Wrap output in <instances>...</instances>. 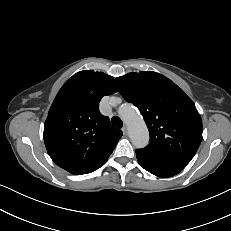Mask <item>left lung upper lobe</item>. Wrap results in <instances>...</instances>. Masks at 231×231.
Masks as SVG:
<instances>
[{"label":"left lung upper lobe","mask_w":231,"mask_h":231,"mask_svg":"<svg viewBox=\"0 0 231 231\" xmlns=\"http://www.w3.org/2000/svg\"><path fill=\"white\" fill-rule=\"evenodd\" d=\"M116 82L149 129V145L136 153L159 164L185 168L202 141V120L192 100L170 79L152 71L128 73Z\"/></svg>","instance_id":"1"}]
</instances>
